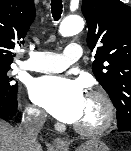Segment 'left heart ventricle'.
Returning a JSON list of instances; mask_svg holds the SVG:
<instances>
[{"instance_id": "b2bd125f", "label": "left heart ventricle", "mask_w": 131, "mask_h": 151, "mask_svg": "<svg viewBox=\"0 0 131 151\" xmlns=\"http://www.w3.org/2000/svg\"><path fill=\"white\" fill-rule=\"evenodd\" d=\"M102 118V106L101 104L93 99L86 98L83 108V112L77 124L83 125H94L100 122Z\"/></svg>"}]
</instances>
